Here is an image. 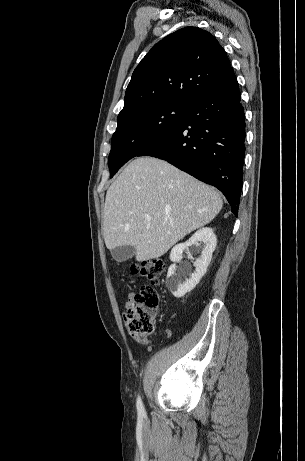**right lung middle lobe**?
Masks as SVG:
<instances>
[{
  "label": "right lung middle lobe",
  "mask_w": 305,
  "mask_h": 461,
  "mask_svg": "<svg viewBox=\"0 0 305 461\" xmlns=\"http://www.w3.org/2000/svg\"><path fill=\"white\" fill-rule=\"evenodd\" d=\"M188 109L187 103L166 102L118 119L108 158L111 177L131 158L172 132Z\"/></svg>",
  "instance_id": "1"
}]
</instances>
